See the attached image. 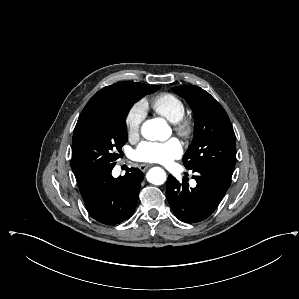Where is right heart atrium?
Masks as SVG:
<instances>
[{
	"mask_svg": "<svg viewBox=\"0 0 299 299\" xmlns=\"http://www.w3.org/2000/svg\"><path fill=\"white\" fill-rule=\"evenodd\" d=\"M145 116L146 106L143 101H137L130 106L124 118L126 131L129 137L138 135Z\"/></svg>",
	"mask_w": 299,
	"mask_h": 299,
	"instance_id": "d8ad5b80",
	"label": "right heart atrium"
}]
</instances>
